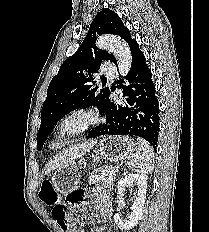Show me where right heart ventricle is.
<instances>
[{
	"instance_id": "right-heart-ventricle-1",
	"label": "right heart ventricle",
	"mask_w": 209,
	"mask_h": 232,
	"mask_svg": "<svg viewBox=\"0 0 209 232\" xmlns=\"http://www.w3.org/2000/svg\"><path fill=\"white\" fill-rule=\"evenodd\" d=\"M62 146V142L60 140H56L54 143H53V148L54 149H58Z\"/></svg>"
}]
</instances>
